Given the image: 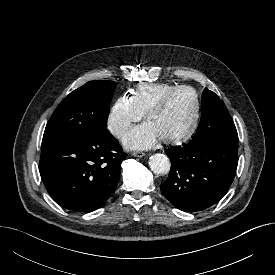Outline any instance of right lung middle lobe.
I'll use <instances>...</instances> for the list:
<instances>
[{
	"mask_svg": "<svg viewBox=\"0 0 275 275\" xmlns=\"http://www.w3.org/2000/svg\"><path fill=\"white\" fill-rule=\"evenodd\" d=\"M114 81H90L57 106L44 131L47 138H84L107 132Z\"/></svg>",
	"mask_w": 275,
	"mask_h": 275,
	"instance_id": "1",
	"label": "right lung middle lobe"
}]
</instances>
